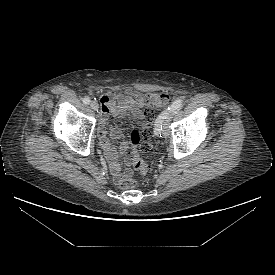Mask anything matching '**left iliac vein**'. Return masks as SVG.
<instances>
[{"instance_id": "4c4485c4", "label": "left iliac vein", "mask_w": 275, "mask_h": 275, "mask_svg": "<svg viewBox=\"0 0 275 275\" xmlns=\"http://www.w3.org/2000/svg\"><path fill=\"white\" fill-rule=\"evenodd\" d=\"M172 113L166 112L165 113V119L163 121V130H162V135L164 137H167L170 135V117Z\"/></svg>"}]
</instances>
